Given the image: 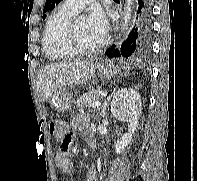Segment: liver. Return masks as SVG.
<instances>
[{"mask_svg":"<svg viewBox=\"0 0 197 181\" xmlns=\"http://www.w3.org/2000/svg\"><path fill=\"white\" fill-rule=\"evenodd\" d=\"M97 67V63L87 61H62L46 65L39 71L36 81L39 100L45 102L56 90L85 82L94 75Z\"/></svg>","mask_w":197,"mask_h":181,"instance_id":"liver-1","label":"liver"}]
</instances>
